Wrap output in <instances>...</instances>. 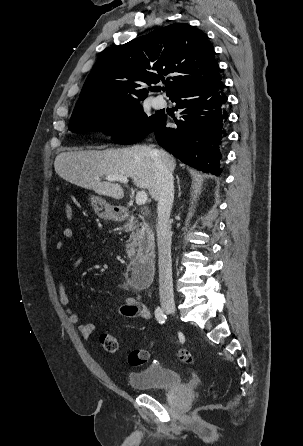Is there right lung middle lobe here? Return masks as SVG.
Wrapping results in <instances>:
<instances>
[{
  "instance_id": "dd1d6c3e",
  "label": "right lung middle lobe",
  "mask_w": 303,
  "mask_h": 446,
  "mask_svg": "<svg viewBox=\"0 0 303 446\" xmlns=\"http://www.w3.org/2000/svg\"><path fill=\"white\" fill-rule=\"evenodd\" d=\"M141 101V100H140ZM140 101L121 106H102L84 114L71 117L69 129L85 132L106 129L122 133L115 139L120 144H133L151 133L162 115L147 116ZM115 125H118L115 127ZM110 128V130L108 129Z\"/></svg>"
}]
</instances>
